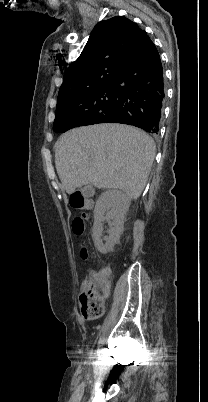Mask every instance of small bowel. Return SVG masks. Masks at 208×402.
I'll list each match as a JSON object with an SVG mask.
<instances>
[{"label": "small bowel", "mask_w": 208, "mask_h": 402, "mask_svg": "<svg viewBox=\"0 0 208 402\" xmlns=\"http://www.w3.org/2000/svg\"><path fill=\"white\" fill-rule=\"evenodd\" d=\"M95 296H98L101 299H103L102 295H95ZM88 321H89L90 324H97L98 321H99V318H98L97 315H90L89 318H88Z\"/></svg>", "instance_id": "1"}]
</instances>
